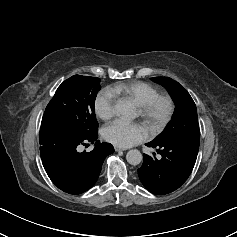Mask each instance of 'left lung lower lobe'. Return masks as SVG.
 I'll use <instances>...</instances> for the list:
<instances>
[{
    "label": "left lung lower lobe",
    "mask_w": 237,
    "mask_h": 237,
    "mask_svg": "<svg viewBox=\"0 0 237 237\" xmlns=\"http://www.w3.org/2000/svg\"><path fill=\"white\" fill-rule=\"evenodd\" d=\"M146 145L157 148L161 159L144 154L143 164L138 169L142 184L148 191L158 195L168 194L178 189L192 172L199 143H155L151 141Z\"/></svg>",
    "instance_id": "1"
}]
</instances>
